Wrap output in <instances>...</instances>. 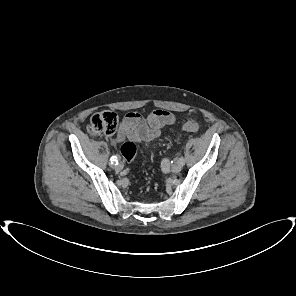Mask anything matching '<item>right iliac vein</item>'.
I'll return each mask as SVG.
<instances>
[{
    "instance_id": "right-iliac-vein-1",
    "label": "right iliac vein",
    "mask_w": 296,
    "mask_h": 296,
    "mask_svg": "<svg viewBox=\"0 0 296 296\" xmlns=\"http://www.w3.org/2000/svg\"><path fill=\"white\" fill-rule=\"evenodd\" d=\"M122 169H123V164L121 162L116 164V166H115L116 171H121Z\"/></svg>"
}]
</instances>
